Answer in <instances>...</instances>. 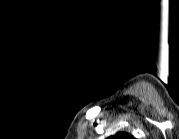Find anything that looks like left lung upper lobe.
<instances>
[{
  "label": "left lung upper lobe",
  "mask_w": 179,
  "mask_h": 139,
  "mask_svg": "<svg viewBox=\"0 0 179 139\" xmlns=\"http://www.w3.org/2000/svg\"><path fill=\"white\" fill-rule=\"evenodd\" d=\"M115 139H133V137L128 133L121 132L115 135Z\"/></svg>",
  "instance_id": "left-lung-upper-lobe-1"
}]
</instances>
